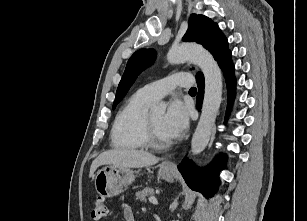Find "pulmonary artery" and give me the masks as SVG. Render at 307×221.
<instances>
[{
	"label": "pulmonary artery",
	"instance_id": "pulmonary-artery-1",
	"mask_svg": "<svg viewBox=\"0 0 307 221\" xmlns=\"http://www.w3.org/2000/svg\"><path fill=\"white\" fill-rule=\"evenodd\" d=\"M192 83L191 74L178 72L161 80L146 84L140 90L152 100H158L172 92L176 87H190Z\"/></svg>",
	"mask_w": 307,
	"mask_h": 221
}]
</instances>
